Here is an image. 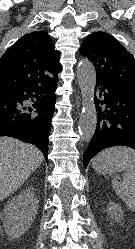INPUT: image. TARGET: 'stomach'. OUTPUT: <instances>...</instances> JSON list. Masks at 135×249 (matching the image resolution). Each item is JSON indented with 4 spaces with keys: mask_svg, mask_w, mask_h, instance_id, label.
<instances>
[{
    "mask_svg": "<svg viewBox=\"0 0 135 249\" xmlns=\"http://www.w3.org/2000/svg\"><path fill=\"white\" fill-rule=\"evenodd\" d=\"M93 168L100 174H112L122 170V166L110 160L93 162Z\"/></svg>",
    "mask_w": 135,
    "mask_h": 249,
    "instance_id": "stomach-1",
    "label": "stomach"
}]
</instances>
